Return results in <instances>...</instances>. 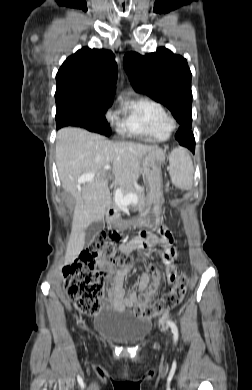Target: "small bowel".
Here are the masks:
<instances>
[{
	"label": "small bowel",
	"mask_w": 252,
	"mask_h": 390,
	"mask_svg": "<svg viewBox=\"0 0 252 390\" xmlns=\"http://www.w3.org/2000/svg\"><path fill=\"white\" fill-rule=\"evenodd\" d=\"M144 237H149V245H159L160 249L158 250L161 254L165 270L170 268L176 270L174 266V260L178 256L177 249L174 245V238L170 231L167 229L160 230L159 235H153L149 232H141V234L130 241H128L123 249L126 251H131L136 248L144 246ZM169 256L170 259L166 260L165 257ZM100 269L107 273L106 275V285H107V295L104 300V307L106 309H114L116 311L122 312L125 310H131L138 303V294L134 291L126 293L124 288V281L129 275L130 271L127 269H117L114 268L110 263L100 260L98 262ZM173 279H167V282H171ZM137 286L140 292H144L149 287V277L146 274H140L138 276ZM164 290V287L161 288ZM164 317L167 315L164 314ZM150 324V321H148Z\"/></svg>",
	"instance_id": "c3829d8e"
}]
</instances>
